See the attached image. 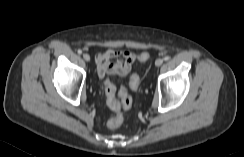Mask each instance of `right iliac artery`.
Returning a JSON list of instances; mask_svg holds the SVG:
<instances>
[{"label":"right iliac artery","mask_w":244,"mask_h":157,"mask_svg":"<svg viewBox=\"0 0 244 157\" xmlns=\"http://www.w3.org/2000/svg\"><path fill=\"white\" fill-rule=\"evenodd\" d=\"M77 52H78V54H82V50H80V49Z\"/></svg>","instance_id":"1"}]
</instances>
